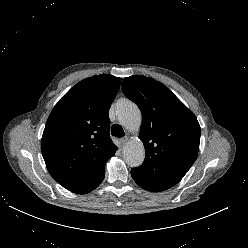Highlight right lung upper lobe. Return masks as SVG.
<instances>
[{
  "label": "right lung upper lobe",
  "mask_w": 248,
  "mask_h": 248,
  "mask_svg": "<svg viewBox=\"0 0 248 248\" xmlns=\"http://www.w3.org/2000/svg\"><path fill=\"white\" fill-rule=\"evenodd\" d=\"M121 79L101 74L86 78L55 105L41 140L51 176L64 188L86 194L105 177V163L117 147L109 135L108 111Z\"/></svg>",
  "instance_id": "1"
}]
</instances>
